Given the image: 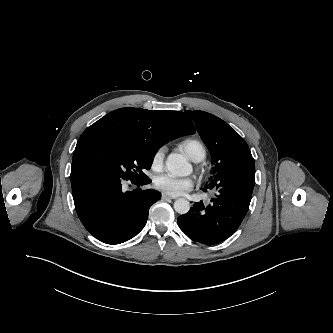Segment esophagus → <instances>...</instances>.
<instances>
[{"label": "esophagus", "mask_w": 333, "mask_h": 333, "mask_svg": "<svg viewBox=\"0 0 333 333\" xmlns=\"http://www.w3.org/2000/svg\"><path fill=\"white\" fill-rule=\"evenodd\" d=\"M161 198L164 199V200H167V199H174L173 197H171V196H169V195H167V194H165V193H162Z\"/></svg>", "instance_id": "34e87169"}]
</instances>
